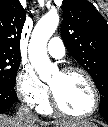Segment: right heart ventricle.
<instances>
[{"label": "right heart ventricle", "mask_w": 108, "mask_h": 127, "mask_svg": "<svg viewBox=\"0 0 108 127\" xmlns=\"http://www.w3.org/2000/svg\"><path fill=\"white\" fill-rule=\"evenodd\" d=\"M38 110L43 114H50L53 111L50 102L47 98L39 104Z\"/></svg>", "instance_id": "e07e8e85"}]
</instances>
